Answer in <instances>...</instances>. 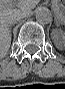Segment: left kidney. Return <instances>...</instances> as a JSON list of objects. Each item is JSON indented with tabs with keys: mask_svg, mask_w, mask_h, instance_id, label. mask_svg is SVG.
Wrapping results in <instances>:
<instances>
[{
	"mask_svg": "<svg viewBox=\"0 0 65 89\" xmlns=\"http://www.w3.org/2000/svg\"><path fill=\"white\" fill-rule=\"evenodd\" d=\"M53 42L59 50H63L65 48V33L58 31V36L53 39Z\"/></svg>",
	"mask_w": 65,
	"mask_h": 89,
	"instance_id": "obj_1",
	"label": "left kidney"
}]
</instances>
